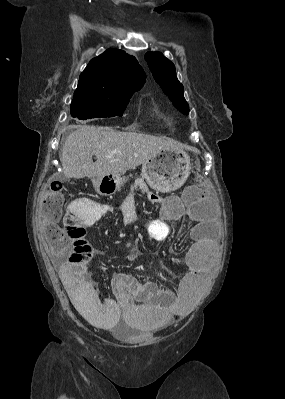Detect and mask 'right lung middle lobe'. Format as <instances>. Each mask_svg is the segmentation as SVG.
<instances>
[{"label":"right lung middle lobe","mask_w":285,"mask_h":399,"mask_svg":"<svg viewBox=\"0 0 285 399\" xmlns=\"http://www.w3.org/2000/svg\"><path fill=\"white\" fill-rule=\"evenodd\" d=\"M133 93L116 94L109 97H73L71 115L81 120L122 116Z\"/></svg>","instance_id":"dd1d6c3e"}]
</instances>
